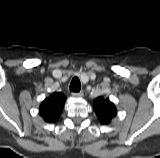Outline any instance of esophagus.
<instances>
[{
    "label": "esophagus",
    "mask_w": 160,
    "mask_h": 158,
    "mask_svg": "<svg viewBox=\"0 0 160 158\" xmlns=\"http://www.w3.org/2000/svg\"><path fill=\"white\" fill-rule=\"evenodd\" d=\"M73 97H82L83 96V91L80 92H72Z\"/></svg>",
    "instance_id": "34e87169"
}]
</instances>
